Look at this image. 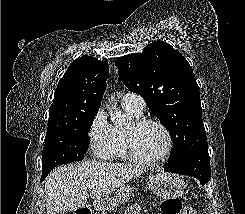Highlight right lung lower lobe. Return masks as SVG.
Returning a JSON list of instances; mask_svg holds the SVG:
<instances>
[{"label":"right lung lower lobe","mask_w":245,"mask_h":214,"mask_svg":"<svg viewBox=\"0 0 245 214\" xmlns=\"http://www.w3.org/2000/svg\"><path fill=\"white\" fill-rule=\"evenodd\" d=\"M47 177V176H46ZM45 176H43L42 178H41V181H43L45 178H46Z\"/></svg>","instance_id":"1"}]
</instances>
